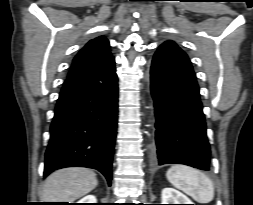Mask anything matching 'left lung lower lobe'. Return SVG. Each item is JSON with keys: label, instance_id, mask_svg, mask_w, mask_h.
<instances>
[{"label": "left lung lower lobe", "instance_id": "left-lung-lower-lobe-1", "mask_svg": "<svg viewBox=\"0 0 253 205\" xmlns=\"http://www.w3.org/2000/svg\"><path fill=\"white\" fill-rule=\"evenodd\" d=\"M156 131L155 161L210 169V147L199 87L186 53L173 41L156 51L150 69Z\"/></svg>", "mask_w": 253, "mask_h": 205}]
</instances>
